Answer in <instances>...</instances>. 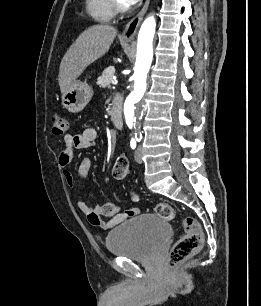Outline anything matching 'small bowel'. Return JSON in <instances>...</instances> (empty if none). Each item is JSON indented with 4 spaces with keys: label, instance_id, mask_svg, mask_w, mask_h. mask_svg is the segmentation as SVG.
I'll list each match as a JSON object with an SVG mask.
<instances>
[{
    "label": "small bowel",
    "instance_id": "obj_1",
    "mask_svg": "<svg viewBox=\"0 0 261 306\" xmlns=\"http://www.w3.org/2000/svg\"><path fill=\"white\" fill-rule=\"evenodd\" d=\"M97 140V131L92 127L85 128L80 133L64 136L65 148L59 155V164L63 169V175L70 186L75 183L73 173L68 166L73 160L74 150L91 148ZM92 166L91 159L84 157L78 166V174L82 179H87ZM77 206L84 213L88 221L102 231L109 230L124 220L138 213V209L130 208L124 212L118 211V206L110 201L100 205L89 206L84 200H78Z\"/></svg>",
    "mask_w": 261,
    "mask_h": 306
}]
</instances>
